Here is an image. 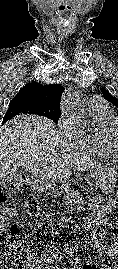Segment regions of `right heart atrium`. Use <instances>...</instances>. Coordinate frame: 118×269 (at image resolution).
I'll list each match as a JSON object with an SVG mask.
<instances>
[{"mask_svg": "<svg viewBox=\"0 0 118 269\" xmlns=\"http://www.w3.org/2000/svg\"><path fill=\"white\" fill-rule=\"evenodd\" d=\"M60 123L72 146L84 138L86 133L78 126V121L73 116L63 114Z\"/></svg>", "mask_w": 118, "mask_h": 269, "instance_id": "right-heart-atrium-1", "label": "right heart atrium"}]
</instances>
